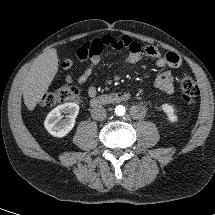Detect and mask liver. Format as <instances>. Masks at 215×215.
<instances>
[{
  "mask_svg": "<svg viewBox=\"0 0 215 215\" xmlns=\"http://www.w3.org/2000/svg\"><path fill=\"white\" fill-rule=\"evenodd\" d=\"M57 71L56 49H46L35 59L21 82L23 100L28 110H33L42 99Z\"/></svg>",
  "mask_w": 215,
  "mask_h": 215,
  "instance_id": "liver-1",
  "label": "liver"
}]
</instances>
